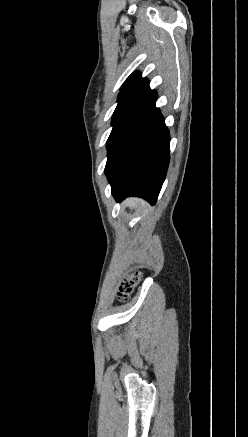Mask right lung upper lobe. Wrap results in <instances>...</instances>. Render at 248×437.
Here are the masks:
<instances>
[{
  "instance_id": "cb5924a9",
  "label": "right lung upper lobe",
  "mask_w": 248,
  "mask_h": 437,
  "mask_svg": "<svg viewBox=\"0 0 248 437\" xmlns=\"http://www.w3.org/2000/svg\"><path fill=\"white\" fill-rule=\"evenodd\" d=\"M147 87H149V81L146 78H142L141 73L134 72L123 84L118 98L133 94L140 95Z\"/></svg>"
}]
</instances>
